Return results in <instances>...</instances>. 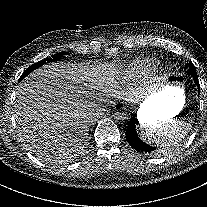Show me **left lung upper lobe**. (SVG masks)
Returning a JSON list of instances; mask_svg holds the SVG:
<instances>
[{"label":"left lung upper lobe","instance_id":"1","mask_svg":"<svg viewBox=\"0 0 207 207\" xmlns=\"http://www.w3.org/2000/svg\"><path fill=\"white\" fill-rule=\"evenodd\" d=\"M189 73L192 75L194 73H197L196 72V68L195 66L190 62V68H189Z\"/></svg>","mask_w":207,"mask_h":207}]
</instances>
